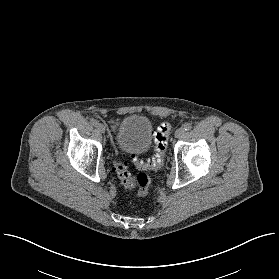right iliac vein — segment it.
I'll use <instances>...</instances> for the list:
<instances>
[{
  "mask_svg": "<svg viewBox=\"0 0 279 279\" xmlns=\"http://www.w3.org/2000/svg\"><path fill=\"white\" fill-rule=\"evenodd\" d=\"M96 128H97V130H98L100 133H104V132H105V128H104L103 124L98 123V124L96 125Z\"/></svg>",
  "mask_w": 279,
  "mask_h": 279,
  "instance_id": "63e3f726",
  "label": "right iliac vein"
}]
</instances>
